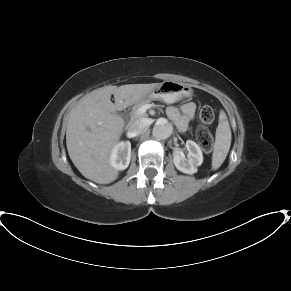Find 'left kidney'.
<instances>
[{
  "mask_svg": "<svg viewBox=\"0 0 291 291\" xmlns=\"http://www.w3.org/2000/svg\"><path fill=\"white\" fill-rule=\"evenodd\" d=\"M186 148L188 150L187 158H185L183 152L174 150L173 162L179 171L194 174L197 172V167L203 162V154L198 144L192 140L186 142Z\"/></svg>",
  "mask_w": 291,
  "mask_h": 291,
  "instance_id": "obj_1",
  "label": "left kidney"
}]
</instances>
